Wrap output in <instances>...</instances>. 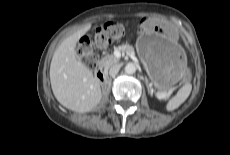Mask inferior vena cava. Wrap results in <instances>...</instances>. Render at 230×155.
<instances>
[{"instance_id":"obj_1","label":"inferior vena cava","mask_w":230,"mask_h":155,"mask_svg":"<svg viewBox=\"0 0 230 155\" xmlns=\"http://www.w3.org/2000/svg\"><path fill=\"white\" fill-rule=\"evenodd\" d=\"M120 65H114L113 67L110 68L109 75L110 76H115L119 70H120Z\"/></svg>"}]
</instances>
